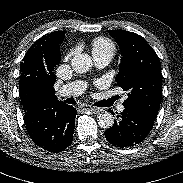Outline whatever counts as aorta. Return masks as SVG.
<instances>
[{"label": "aorta", "mask_w": 183, "mask_h": 183, "mask_svg": "<svg viewBox=\"0 0 183 183\" xmlns=\"http://www.w3.org/2000/svg\"><path fill=\"white\" fill-rule=\"evenodd\" d=\"M93 61L90 55L79 53L71 61V66L76 73H86L92 67ZM98 124L103 129H109L114 124V117L111 113L105 112L99 115Z\"/></svg>", "instance_id": "aorta-1"}]
</instances>
